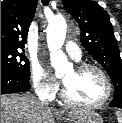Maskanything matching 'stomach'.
<instances>
[{
    "label": "stomach",
    "mask_w": 122,
    "mask_h": 123,
    "mask_svg": "<svg viewBox=\"0 0 122 123\" xmlns=\"http://www.w3.org/2000/svg\"><path fill=\"white\" fill-rule=\"evenodd\" d=\"M72 123H103V119L94 111H84L80 118L72 120Z\"/></svg>",
    "instance_id": "obj_1"
}]
</instances>
